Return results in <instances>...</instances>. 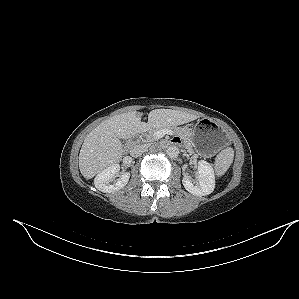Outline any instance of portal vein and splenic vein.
Listing matches in <instances>:
<instances>
[{
    "mask_svg": "<svg viewBox=\"0 0 299 299\" xmlns=\"http://www.w3.org/2000/svg\"><path fill=\"white\" fill-rule=\"evenodd\" d=\"M166 134H172V131L165 128V129L156 131L154 135H155L156 139H160V138L164 137Z\"/></svg>",
    "mask_w": 299,
    "mask_h": 299,
    "instance_id": "1",
    "label": "portal vein and splenic vein"
}]
</instances>
